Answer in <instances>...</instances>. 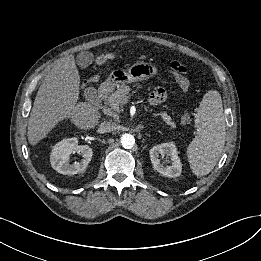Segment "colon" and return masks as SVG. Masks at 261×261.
<instances>
[{
    "label": "colon",
    "mask_w": 261,
    "mask_h": 261,
    "mask_svg": "<svg viewBox=\"0 0 261 261\" xmlns=\"http://www.w3.org/2000/svg\"><path fill=\"white\" fill-rule=\"evenodd\" d=\"M102 62H109L111 60V53L109 51L103 52L97 57ZM169 70L173 73L177 80H185L189 69L180 62H172L169 65ZM188 86L183 84L182 89L187 90Z\"/></svg>",
    "instance_id": "1"
}]
</instances>
